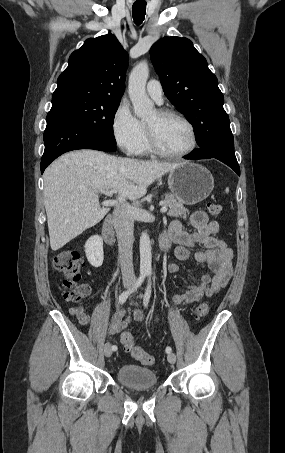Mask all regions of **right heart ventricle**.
<instances>
[{"label": "right heart ventricle", "mask_w": 285, "mask_h": 453, "mask_svg": "<svg viewBox=\"0 0 285 453\" xmlns=\"http://www.w3.org/2000/svg\"><path fill=\"white\" fill-rule=\"evenodd\" d=\"M143 128H144V133H143V137H142V140H141V143L139 146L138 154L146 155V154H150L152 151L148 144L146 129H145L144 125H143Z\"/></svg>", "instance_id": "obj_1"}]
</instances>
